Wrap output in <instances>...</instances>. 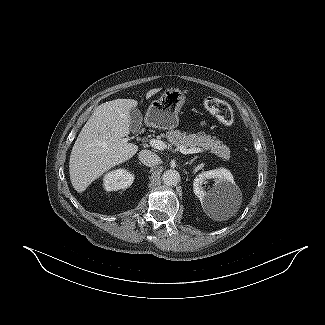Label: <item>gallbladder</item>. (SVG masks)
Returning a JSON list of instances; mask_svg holds the SVG:
<instances>
[{
    "label": "gallbladder",
    "mask_w": 325,
    "mask_h": 325,
    "mask_svg": "<svg viewBox=\"0 0 325 325\" xmlns=\"http://www.w3.org/2000/svg\"><path fill=\"white\" fill-rule=\"evenodd\" d=\"M130 129L133 133L139 132L142 124V115L136 108L130 110Z\"/></svg>",
    "instance_id": "gallbladder-1"
}]
</instances>
